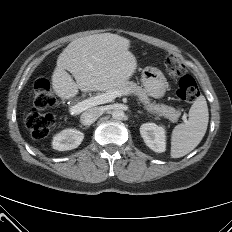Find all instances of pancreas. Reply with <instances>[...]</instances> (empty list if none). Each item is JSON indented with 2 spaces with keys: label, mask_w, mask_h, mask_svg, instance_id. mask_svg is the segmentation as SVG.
<instances>
[{
  "label": "pancreas",
  "mask_w": 232,
  "mask_h": 232,
  "mask_svg": "<svg viewBox=\"0 0 232 232\" xmlns=\"http://www.w3.org/2000/svg\"><path fill=\"white\" fill-rule=\"evenodd\" d=\"M123 90H128L131 93L135 94L139 98V101L144 105V108L147 111L151 113H156L159 116H163L169 119L173 123L178 121V118L180 117L179 111H177L173 107L164 104H156L155 102L151 103L145 89L142 88L141 86H138L136 83L132 81H126L117 87L107 90V92L123 91Z\"/></svg>",
  "instance_id": "obj_1"
}]
</instances>
